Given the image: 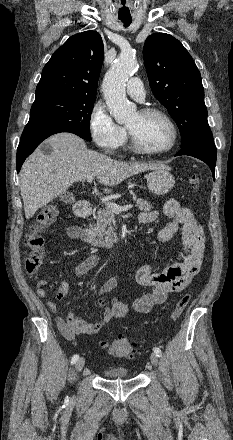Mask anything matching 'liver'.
Returning a JSON list of instances; mask_svg holds the SVG:
<instances>
[{"label": "liver", "instance_id": "obj_1", "mask_svg": "<svg viewBox=\"0 0 233 440\" xmlns=\"http://www.w3.org/2000/svg\"><path fill=\"white\" fill-rule=\"evenodd\" d=\"M45 143L52 147L45 155L41 147L24 162L19 173L20 191L26 219L66 192L74 182L88 175L96 176L105 185V193L130 176L155 169H167L161 163H128L114 160L104 154L87 149L83 139L75 134L63 132L52 135Z\"/></svg>", "mask_w": 233, "mask_h": 440}]
</instances>
